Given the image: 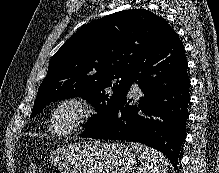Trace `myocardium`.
I'll return each instance as SVG.
<instances>
[{"instance_id":"obj_1","label":"myocardium","mask_w":219,"mask_h":173,"mask_svg":"<svg viewBox=\"0 0 219 173\" xmlns=\"http://www.w3.org/2000/svg\"><path fill=\"white\" fill-rule=\"evenodd\" d=\"M65 106L73 107L75 116L66 129L59 130L56 124V114L59 109ZM95 114L96 109L89 100L76 95L66 96L57 100L52 106L49 115L50 127L52 132L58 136H69L86 126L93 119Z\"/></svg>"}]
</instances>
